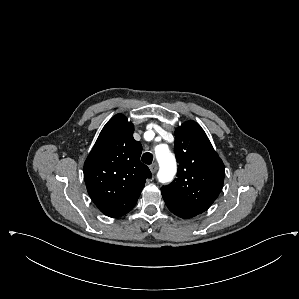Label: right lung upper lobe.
Listing matches in <instances>:
<instances>
[{
  "mask_svg": "<svg viewBox=\"0 0 299 299\" xmlns=\"http://www.w3.org/2000/svg\"><path fill=\"white\" fill-rule=\"evenodd\" d=\"M134 127L122 114L102 129L84 164L87 191L105 215L116 218L131 211L151 177L140 162L142 146L133 138Z\"/></svg>",
  "mask_w": 299,
  "mask_h": 299,
  "instance_id": "right-lung-upper-lobe-1",
  "label": "right lung upper lobe"
}]
</instances>
